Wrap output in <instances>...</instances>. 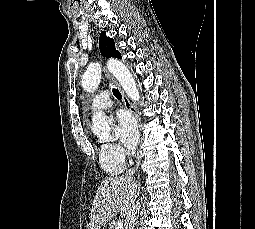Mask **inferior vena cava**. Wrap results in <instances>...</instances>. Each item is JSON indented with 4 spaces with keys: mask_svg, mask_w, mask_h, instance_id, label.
Listing matches in <instances>:
<instances>
[{
    "mask_svg": "<svg viewBox=\"0 0 255 229\" xmlns=\"http://www.w3.org/2000/svg\"><path fill=\"white\" fill-rule=\"evenodd\" d=\"M135 173V169H129L125 177L133 180V174ZM140 204L138 200H135L131 208L129 209L127 216H126V222H125V229H135V222H136V216L139 211Z\"/></svg>",
    "mask_w": 255,
    "mask_h": 229,
    "instance_id": "602c4592",
    "label": "inferior vena cava"
}]
</instances>
